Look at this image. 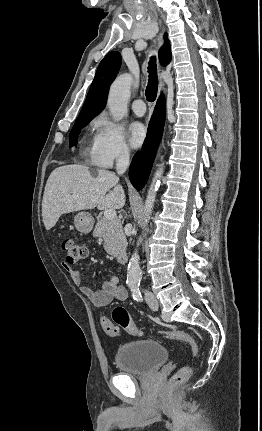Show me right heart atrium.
Listing matches in <instances>:
<instances>
[{
    "instance_id": "obj_1",
    "label": "right heart atrium",
    "mask_w": 262,
    "mask_h": 431,
    "mask_svg": "<svg viewBox=\"0 0 262 431\" xmlns=\"http://www.w3.org/2000/svg\"><path fill=\"white\" fill-rule=\"evenodd\" d=\"M92 159L100 166H111L116 160L129 158L131 150L118 124L101 115L95 121Z\"/></svg>"
}]
</instances>
